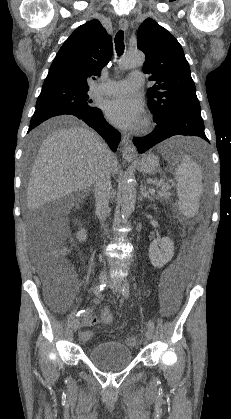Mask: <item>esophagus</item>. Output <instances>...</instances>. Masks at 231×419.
Here are the masks:
<instances>
[{
  "label": "esophagus",
  "instance_id": "obj_1",
  "mask_svg": "<svg viewBox=\"0 0 231 419\" xmlns=\"http://www.w3.org/2000/svg\"><path fill=\"white\" fill-rule=\"evenodd\" d=\"M119 26L123 30H127L128 28V21L126 18H121L119 21ZM121 152L123 159L127 161H132L137 157V151L132 144V141L130 140L128 135H123L122 141H121Z\"/></svg>",
  "mask_w": 231,
  "mask_h": 419
}]
</instances>
